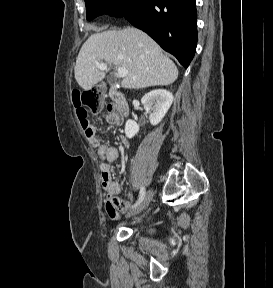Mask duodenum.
Wrapping results in <instances>:
<instances>
[{
	"label": "duodenum",
	"mask_w": 273,
	"mask_h": 288,
	"mask_svg": "<svg viewBox=\"0 0 273 288\" xmlns=\"http://www.w3.org/2000/svg\"><path fill=\"white\" fill-rule=\"evenodd\" d=\"M109 96L114 103L115 115L124 119L128 115V104L124 95L117 89L112 88L109 91Z\"/></svg>",
	"instance_id": "obj_1"
}]
</instances>
